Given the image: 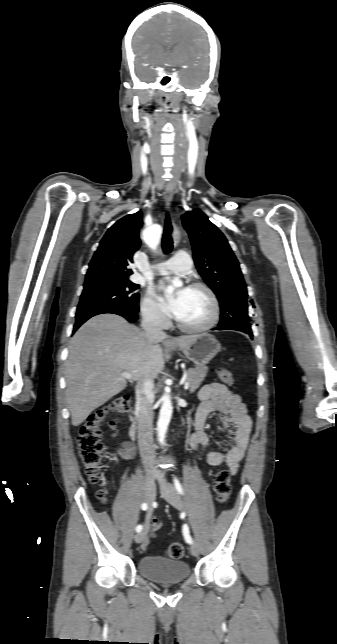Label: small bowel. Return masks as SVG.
<instances>
[{"instance_id":"obj_1","label":"small bowel","mask_w":337,"mask_h":644,"mask_svg":"<svg viewBox=\"0 0 337 644\" xmlns=\"http://www.w3.org/2000/svg\"><path fill=\"white\" fill-rule=\"evenodd\" d=\"M201 401L195 417V432L191 435L189 443L192 450L199 447L208 448L209 436L205 430V423L208 416L213 412L223 415L220 431L227 440L233 442V447L225 453L213 449H207L206 460L212 466L226 464L230 467L232 474H235L243 460L252 430V420L248 415L247 408L241 397L226 386L219 383L207 384L199 391ZM119 456L124 460H130L135 455L134 447L124 443L118 451ZM162 527L161 522L148 513L145 517V529L147 536L142 541V548L149 545L150 537Z\"/></svg>"}]
</instances>
